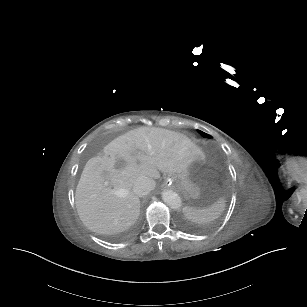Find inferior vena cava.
Returning a JSON list of instances; mask_svg holds the SVG:
<instances>
[{"label":"inferior vena cava","instance_id":"inferior-vena-cava-1","mask_svg":"<svg viewBox=\"0 0 307 307\" xmlns=\"http://www.w3.org/2000/svg\"><path fill=\"white\" fill-rule=\"evenodd\" d=\"M154 187L155 185L150 178L142 176L136 179L133 185V192L137 196L142 197L149 194L150 191L154 189Z\"/></svg>","mask_w":307,"mask_h":307}]
</instances>
